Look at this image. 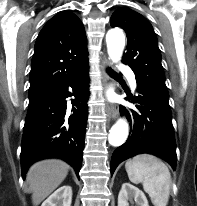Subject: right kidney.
<instances>
[{
	"label": "right kidney",
	"instance_id": "right-kidney-1",
	"mask_svg": "<svg viewBox=\"0 0 197 206\" xmlns=\"http://www.w3.org/2000/svg\"><path fill=\"white\" fill-rule=\"evenodd\" d=\"M72 189L65 185L57 189L41 206H71Z\"/></svg>",
	"mask_w": 197,
	"mask_h": 206
}]
</instances>
